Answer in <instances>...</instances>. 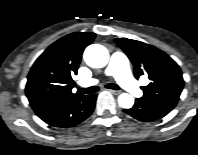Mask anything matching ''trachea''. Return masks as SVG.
Instances as JSON below:
<instances>
[{
    "label": "trachea",
    "instance_id": "obj_1",
    "mask_svg": "<svg viewBox=\"0 0 198 155\" xmlns=\"http://www.w3.org/2000/svg\"><path fill=\"white\" fill-rule=\"evenodd\" d=\"M106 88L113 89V90H119L120 89V87L118 85L114 84V83H108L106 85ZM79 90H81L85 94H92V93H96L99 90V87L98 86H91V87L83 88V89H79Z\"/></svg>",
    "mask_w": 198,
    "mask_h": 155
}]
</instances>
